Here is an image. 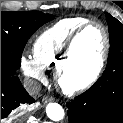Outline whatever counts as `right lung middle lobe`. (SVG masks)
<instances>
[{
    "label": "right lung middle lobe",
    "instance_id": "1",
    "mask_svg": "<svg viewBox=\"0 0 123 123\" xmlns=\"http://www.w3.org/2000/svg\"><path fill=\"white\" fill-rule=\"evenodd\" d=\"M53 19L40 11L1 12V75H15L28 39Z\"/></svg>",
    "mask_w": 123,
    "mask_h": 123
}]
</instances>
